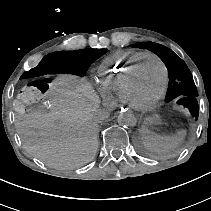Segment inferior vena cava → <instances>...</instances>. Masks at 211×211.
Wrapping results in <instances>:
<instances>
[{
  "label": "inferior vena cava",
  "instance_id": "inferior-vena-cava-1",
  "mask_svg": "<svg viewBox=\"0 0 211 211\" xmlns=\"http://www.w3.org/2000/svg\"><path fill=\"white\" fill-rule=\"evenodd\" d=\"M98 117L99 119H102L104 118V114L101 111H98Z\"/></svg>",
  "mask_w": 211,
  "mask_h": 211
}]
</instances>
